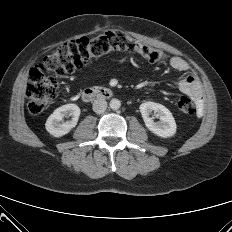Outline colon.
<instances>
[{
	"instance_id": "5ec220e1",
	"label": "colon",
	"mask_w": 232,
	"mask_h": 232,
	"mask_svg": "<svg viewBox=\"0 0 232 232\" xmlns=\"http://www.w3.org/2000/svg\"><path fill=\"white\" fill-rule=\"evenodd\" d=\"M112 52L139 53L150 62H163L166 59L162 50L141 43L121 31H108L94 38L83 37L64 43L30 70L26 84L29 112L41 113L57 97L58 83L51 74H71ZM177 105L182 114L195 113L194 104L188 97H181Z\"/></svg>"
}]
</instances>
